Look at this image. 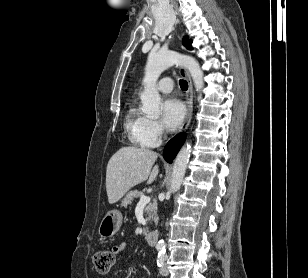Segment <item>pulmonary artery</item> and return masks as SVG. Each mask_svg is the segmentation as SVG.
Masks as SVG:
<instances>
[{
	"mask_svg": "<svg viewBox=\"0 0 308 278\" xmlns=\"http://www.w3.org/2000/svg\"><path fill=\"white\" fill-rule=\"evenodd\" d=\"M158 91L162 93H169L173 89V81L171 78L166 77L159 81L157 85Z\"/></svg>",
	"mask_w": 308,
	"mask_h": 278,
	"instance_id": "obj_1",
	"label": "pulmonary artery"
}]
</instances>
